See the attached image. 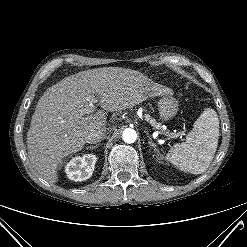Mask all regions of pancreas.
<instances>
[{"label": "pancreas", "mask_w": 247, "mask_h": 247, "mask_svg": "<svg viewBox=\"0 0 247 247\" xmlns=\"http://www.w3.org/2000/svg\"><path fill=\"white\" fill-rule=\"evenodd\" d=\"M147 121L152 125L158 127L160 124L155 121V119L151 118L150 116L146 117ZM174 137V136H173Z\"/></svg>", "instance_id": "obj_1"}]
</instances>
